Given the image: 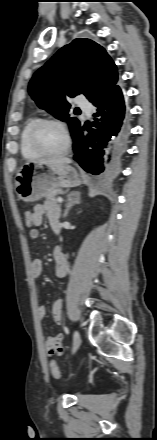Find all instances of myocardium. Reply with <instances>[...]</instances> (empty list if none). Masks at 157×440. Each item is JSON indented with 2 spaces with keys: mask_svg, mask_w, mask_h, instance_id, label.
<instances>
[{
  "mask_svg": "<svg viewBox=\"0 0 157 440\" xmlns=\"http://www.w3.org/2000/svg\"><path fill=\"white\" fill-rule=\"evenodd\" d=\"M44 125H55L58 126L65 137V146L62 150L58 151V152H48L45 151L44 149L41 148V146L39 145L38 141H37V134L40 130V128ZM29 143L31 145V147L38 152L41 155L44 156H52V157H58V156H63L66 155L72 147V138L71 135L66 127V125L58 119H54V118H43V119H39L31 128L30 133H29Z\"/></svg>",
  "mask_w": 157,
  "mask_h": 440,
  "instance_id": "1",
  "label": "myocardium"
}]
</instances>
